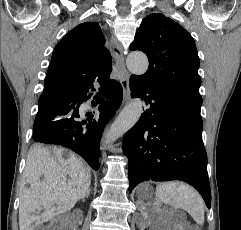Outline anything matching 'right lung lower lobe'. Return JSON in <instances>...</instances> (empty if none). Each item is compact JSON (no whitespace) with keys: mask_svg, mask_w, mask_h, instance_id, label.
<instances>
[{"mask_svg":"<svg viewBox=\"0 0 241 230\" xmlns=\"http://www.w3.org/2000/svg\"><path fill=\"white\" fill-rule=\"evenodd\" d=\"M90 96H80L58 104L39 100L33 140L67 147L82 156L94 170H98L101 135L121 105L123 90L117 81L100 88L94 97L99 104V114L96 118L82 119L79 106Z\"/></svg>","mask_w":241,"mask_h":230,"instance_id":"98d812e1","label":"right lung lower lobe"}]
</instances>
